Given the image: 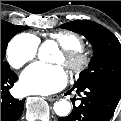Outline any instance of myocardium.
Listing matches in <instances>:
<instances>
[{
    "label": "myocardium",
    "instance_id": "1",
    "mask_svg": "<svg viewBox=\"0 0 121 121\" xmlns=\"http://www.w3.org/2000/svg\"><path fill=\"white\" fill-rule=\"evenodd\" d=\"M61 54L64 65L72 75H80L91 62L89 54L81 48H63Z\"/></svg>",
    "mask_w": 121,
    "mask_h": 121
}]
</instances>
